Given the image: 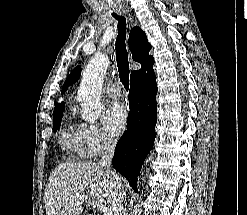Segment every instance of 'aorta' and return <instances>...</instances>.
<instances>
[{
	"label": "aorta",
	"instance_id": "aorta-1",
	"mask_svg": "<svg viewBox=\"0 0 247 215\" xmlns=\"http://www.w3.org/2000/svg\"><path fill=\"white\" fill-rule=\"evenodd\" d=\"M108 65L109 59L106 56L96 54L83 73L77 99L81 103L83 119L87 122H95L102 114L101 92Z\"/></svg>",
	"mask_w": 247,
	"mask_h": 215
}]
</instances>
